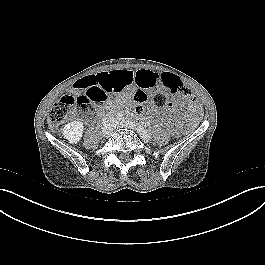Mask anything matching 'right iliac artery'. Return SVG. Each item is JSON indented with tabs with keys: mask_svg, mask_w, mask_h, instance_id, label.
Returning <instances> with one entry per match:
<instances>
[{
	"mask_svg": "<svg viewBox=\"0 0 265 265\" xmlns=\"http://www.w3.org/2000/svg\"><path fill=\"white\" fill-rule=\"evenodd\" d=\"M123 114L122 113H118L117 114V119L120 121V120H123Z\"/></svg>",
	"mask_w": 265,
	"mask_h": 265,
	"instance_id": "right-iliac-artery-1",
	"label": "right iliac artery"
}]
</instances>
